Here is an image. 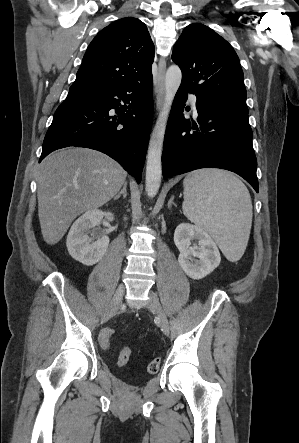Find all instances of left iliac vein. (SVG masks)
I'll return each mask as SVG.
<instances>
[{
    "instance_id": "4c4485c4",
    "label": "left iliac vein",
    "mask_w": 299,
    "mask_h": 443,
    "mask_svg": "<svg viewBox=\"0 0 299 443\" xmlns=\"http://www.w3.org/2000/svg\"><path fill=\"white\" fill-rule=\"evenodd\" d=\"M148 308L157 315L159 322H160L161 329L164 332V334L169 335L170 327H169V322H168L167 316H166L158 298L153 294H151V299H150V303L148 305Z\"/></svg>"
}]
</instances>
